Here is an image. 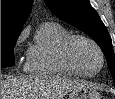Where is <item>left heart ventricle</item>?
Segmentation results:
<instances>
[{
    "mask_svg": "<svg viewBox=\"0 0 115 99\" xmlns=\"http://www.w3.org/2000/svg\"><path fill=\"white\" fill-rule=\"evenodd\" d=\"M72 57L84 71L92 73L100 66V57L96 49L88 42L77 40L72 45Z\"/></svg>",
    "mask_w": 115,
    "mask_h": 99,
    "instance_id": "b2bd125f",
    "label": "left heart ventricle"
}]
</instances>
